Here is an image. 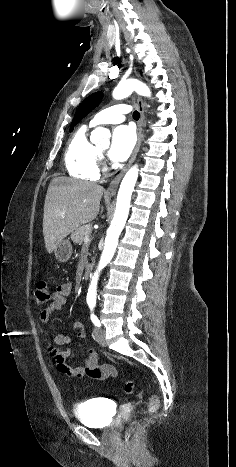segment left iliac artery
<instances>
[{
    "mask_svg": "<svg viewBox=\"0 0 236 467\" xmlns=\"http://www.w3.org/2000/svg\"><path fill=\"white\" fill-rule=\"evenodd\" d=\"M88 305H89L90 310H91V320H92V322L94 323L95 326L100 327L101 326L100 321L93 312V309H94L96 303L95 302H89Z\"/></svg>",
    "mask_w": 236,
    "mask_h": 467,
    "instance_id": "44dca946",
    "label": "left iliac artery"
}]
</instances>
